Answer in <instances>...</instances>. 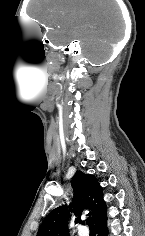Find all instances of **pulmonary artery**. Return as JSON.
<instances>
[{
  "mask_svg": "<svg viewBox=\"0 0 145 236\" xmlns=\"http://www.w3.org/2000/svg\"><path fill=\"white\" fill-rule=\"evenodd\" d=\"M78 234L79 236H89V230L86 227L81 226L78 229Z\"/></svg>",
  "mask_w": 145,
  "mask_h": 236,
  "instance_id": "obj_1",
  "label": "pulmonary artery"
}]
</instances>
